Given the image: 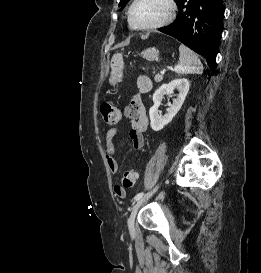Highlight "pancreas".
<instances>
[{"label": "pancreas", "instance_id": "1", "mask_svg": "<svg viewBox=\"0 0 261 273\" xmlns=\"http://www.w3.org/2000/svg\"><path fill=\"white\" fill-rule=\"evenodd\" d=\"M162 79H163V76L161 74H156L155 77H154V80L156 82H160Z\"/></svg>", "mask_w": 261, "mask_h": 273}]
</instances>
